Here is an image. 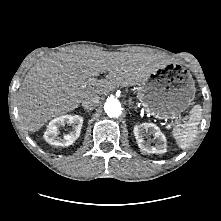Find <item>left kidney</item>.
<instances>
[{
	"mask_svg": "<svg viewBox=\"0 0 221 221\" xmlns=\"http://www.w3.org/2000/svg\"><path fill=\"white\" fill-rule=\"evenodd\" d=\"M134 135L137 140L138 146L142 151L147 153H155V154H162L167 151V143L166 137L161 132L158 126L153 123H142L140 125H136L134 127ZM145 132H149L157 139V143L155 146H151L149 143H145L144 135Z\"/></svg>",
	"mask_w": 221,
	"mask_h": 221,
	"instance_id": "left-kidney-1",
	"label": "left kidney"
}]
</instances>
